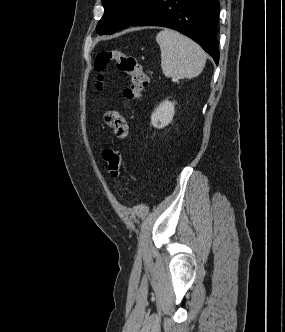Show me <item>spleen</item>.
Masks as SVG:
<instances>
[{
	"instance_id": "1",
	"label": "spleen",
	"mask_w": 285,
	"mask_h": 332,
	"mask_svg": "<svg viewBox=\"0 0 285 332\" xmlns=\"http://www.w3.org/2000/svg\"><path fill=\"white\" fill-rule=\"evenodd\" d=\"M161 51V68L166 77L192 79L206 63V53L194 41L181 33L164 29L156 36Z\"/></svg>"
}]
</instances>
